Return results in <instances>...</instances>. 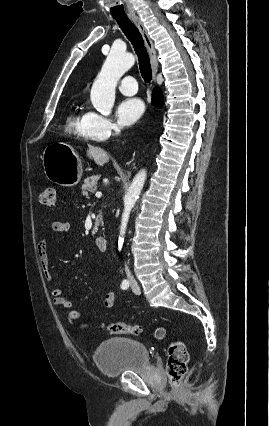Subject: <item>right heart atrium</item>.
I'll use <instances>...</instances> for the list:
<instances>
[{
	"label": "right heart atrium",
	"mask_w": 269,
	"mask_h": 426,
	"mask_svg": "<svg viewBox=\"0 0 269 426\" xmlns=\"http://www.w3.org/2000/svg\"><path fill=\"white\" fill-rule=\"evenodd\" d=\"M119 133L118 127L106 116L97 112H89L86 134L96 141H105Z\"/></svg>",
	"instance_id": "obj_1"
}]
</instances>
